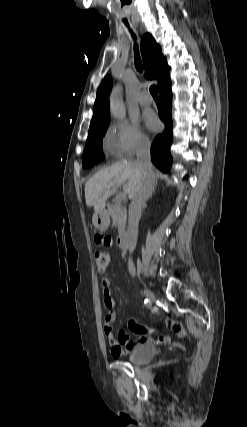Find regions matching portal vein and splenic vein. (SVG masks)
Returning a JSON list of instances; mask_svg holds the SVG:
<instances>
[{"label":"portal vein and splenic vein","mask_w":247,"mask_h":427,"mask_svg":"<svg viewBox=\"0 0 247 427\" xmlns=\"http://www.w3.org/2000/svg\"><path fill=\"white\" fill-rule=\"evenodd\" d=\"M126 197V192H123L117 196V200L121 201Z\"/></svg>","instance_id":"portal-vein-and-splenic-vein-1"}]
</instances>
